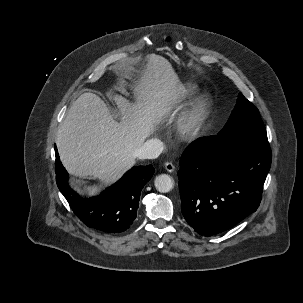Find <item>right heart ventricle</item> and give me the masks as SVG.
<instances>
[{"mask_svg": "<svg viewBox=\"0 0 303 303\" xmlns=\"http://www.w3.org/2000/svg\"><path fill=\"white\" fill-rule=\"evenodd\" d=\"M196 91V87L192 86V85H184L182 86V88L179 91V98L180 99H187L189 97H191Z\"/></svg>", "mask_w": 303, "mask_h": 303, "instance_id": "obj_1", "label": "right heart ventricle"}]
</instances>
